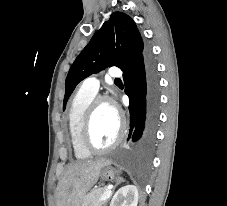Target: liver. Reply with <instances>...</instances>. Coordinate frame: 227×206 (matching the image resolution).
<instances>
[{
    "label": "liver",
    "instance_id": "1",
    "mask_svg": "<svg viewBox=\"0 0 227 206\" xmlns=\"http://www.w3.org/2000/svg\"><path fill=\"white\" fill-rule=\"evenodd\" d=\"M106 159L79 161L64 172L56 189V206H80L86 192L97 182Z\"/></svg>",
    "mask_w": 227,
    "mask_h": 206
}]
</instances>
